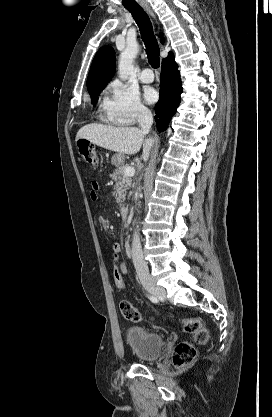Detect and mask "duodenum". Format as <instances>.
<instances>
[{
  "mask_svg": "<svg viewBox=\"0 0 272 417\" xmlns=\"http://www.w3.org/2000/svg\"><path fill=\"white\" fill-rule=\"evenodd\" d=\"M120 212L122 217L127 218L128 217V207L125 205H122L120 208Z\"/></svg>",
  "mask_w": 272,
  "mask_h": 417,
  "instance_id": "obj_1",
  "label": "duodenum"
}]
</instances>
